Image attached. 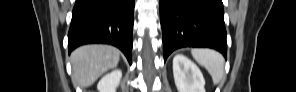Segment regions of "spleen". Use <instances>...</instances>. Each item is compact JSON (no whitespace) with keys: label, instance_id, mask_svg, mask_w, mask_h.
I'll list each match as a JSON object with an SVG mask.
<instances>
[{"label":"spleen","instance_id":"spleen-1","mask_svg":"<svg viewBox=\"0 0 296 92\" xmlns=\"http://www.w3.org/2000/svg\"><path fill=\"white\" fill-rule=\"evenodd\" d=\"M193 58L204 66L212 77L213 83L218 84L224 75V58L211 49H192Z\"/></svg>","mask_w":296,"mask_h":92}]
</instances>
